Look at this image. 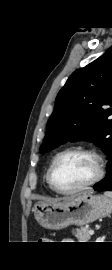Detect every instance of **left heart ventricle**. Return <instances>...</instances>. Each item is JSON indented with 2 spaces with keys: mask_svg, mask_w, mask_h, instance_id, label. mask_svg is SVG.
Returning <instances> with one entry per match:
<instances>
[{
  "mask_svg": "<svg viewBox=\"0 0 112 270\" xmlns=\"http://www.w3.org/2000/svg\"><path fill=\"white\" fill-rule=\"evenodd\" d=\"M96 174V163L88 155L70 153L58 159L53 170L55 184L61 189H73L90 181Z\"/></svg>",
  "mask_w": 112,
  "mask_h": 270,
  "instance_id": "obj_1",
  "label": "left heart ventricle"
}]
</instances>
